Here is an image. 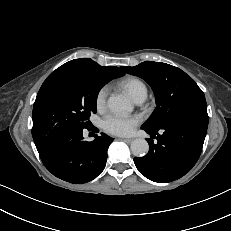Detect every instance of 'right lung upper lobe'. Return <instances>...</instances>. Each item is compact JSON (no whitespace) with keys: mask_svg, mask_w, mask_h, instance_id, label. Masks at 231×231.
<instances>
[{"mask_svg":"<svg viewBox=\"0 0 231 231\" xmlns=\"http://www.w3.org/2000/svg\"><path fill=\"white\" fill-rule=\"evenodd\" d=\"M77 70H95L104 75L112 76L114 78L124 75V72L118 67L115 66L103 67L89 58L71 60L63 64L59 68H57L51 74H55L63 71H77Z\"/></svg>","mask_w":231,"mask_h":231,"instance_id":"1","label":"right lung upper lobe"}]
</instances>
